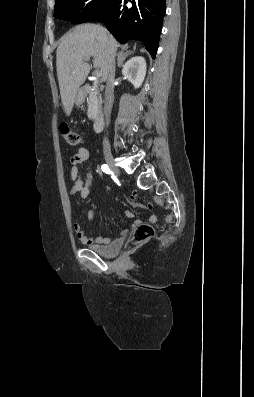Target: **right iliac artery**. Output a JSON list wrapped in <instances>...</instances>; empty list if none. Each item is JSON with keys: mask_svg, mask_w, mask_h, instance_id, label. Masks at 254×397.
Listing matches in <instances>:
<instances>
[{"mask_svg": "<svg viewBox=\"0 0 254 397\" xmlns=\"http://www.w3.org/2000/svg\"><path fill=\"white\" fill-rule=\"evenodd\" d=\"M101 169H102L103 172H105L106 174H109V173H110V169H109L108 165H106V164H103V165L101 166Z\"/></svg>", "mask_w": 254, "mask_h": 397, "instance_id": "obj_1", "label": "right iliac artery"}]
</instances>
